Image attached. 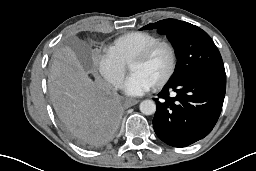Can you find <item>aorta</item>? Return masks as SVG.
Listing matches in <instances>:
<instances>
[{
  "label": "aorta",
  "instance_id": "762f6f07",
  "mask_svg": "<svg viewBox=\"0 0 256 171\" xmlns=\"http://www.w3.org/2000/svg\"><path fill=\"white\" fill-rule=\"evenodd\" d=\"M139 108L144 115H152L156 111V104L153 100H143Z\"/></svg>",
  "mask_w": 256,
  "mask_h": 171
}]
</instances>
